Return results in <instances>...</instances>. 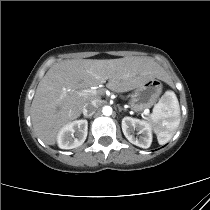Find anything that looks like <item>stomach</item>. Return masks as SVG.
<instances>
[{
    "mask_svg": "<svg viewBox=\"0 0 210 210\" xmlns=\"http://www.w3.org/2000/svg\"><path fill=\"white\" fill-rule=\"evenodd\" d=\"M162 90L159 80L152 79L138 86L130 95L129 104L135 112L152 107Z\"/></svg>",
    "mask_w": 210,
    "mask_h": 210,
    "instance_id": "stomach-1",
    "label": "stomach"
}]
</instances>
